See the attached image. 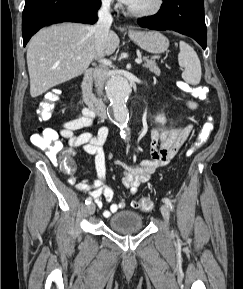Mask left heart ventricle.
Instances as JSON below:
<instances>
[{
    "mask_svg": "<svg viewBox=\"0 0 243 289\" xmlns=\"http://www.w3.org/2000/svg\"><path fill=\"white\" fill-rule=\"evenodd\" d=\"M154 1L155 0H133L129 6L135 10H144L151 7Z\"/></svg>",
    "mask_w": 243,
    "mask_h": 289,
    "instance_id": "1",
    "label": "left heart ventricle"
}]
</instances>
